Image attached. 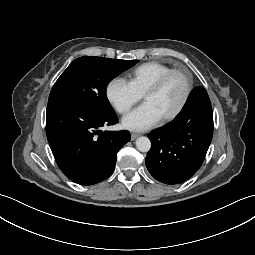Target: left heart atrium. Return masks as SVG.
Returning <instances> with one entry per match:
<instances>
[{
  "label": "left heart atrium",
  "mask_w": 255,
  "mask_h": 255,
  "mask_svg": "<svg viewBox=\"0 0 255 255\" xmlns=\"http://www.w3.org/2000/svg\"><path fill=\"white\" fill-rule=\"evenodd\" d=\"M162 119L157 109L145 102L123 118V126L134 131H143L156 125Z\"/></svg>",
  "instance_id": "1"
}]
</instances>
